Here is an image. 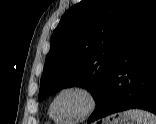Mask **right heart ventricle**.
Returning <instances> with one entry per match:
<instances>
[{"label": "right heart ventricle", "mask_w": 156, "mask_h": 124, "mask_svg": "<svg viewBox=\"0 0 156 124\" xmlns=\"http://www.w3.org/2000/svg\"><path fill=\"white\" fill-rule=\"evenodd\" d=\"M48 113H49V117H50L55 123H60V124L65 123V122H63L62 119H60V118H55V117L51 114V112H50L49 110H48Z\"/></svg>", "instance_id": "right-heart-ventricle-1"}]
</instances>
